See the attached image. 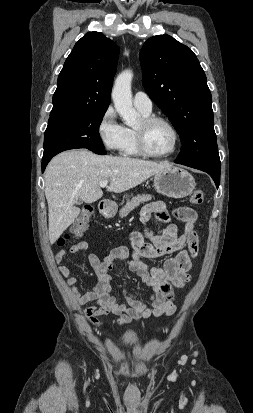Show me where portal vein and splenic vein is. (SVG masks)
Returning a JSON list of instances; mask_svg holds the SVG:
<instances>
[{
  "mask_svg": "<svg viewBox=\"0 0 253 413\" xmlns=\"http://www.w3.org/2000/svg\"><path fill=\"white\" fill-rule=\"evenodd\" d=\"M108 181H102L99 183L100 187L105 188L107 187Z\"/></svg>",
  "mask_w": 253,
  "mask_h": 413,
  "instance_id": "18ae733b",
  "label": "portal vein and splenic vein"
}]
</instances>
